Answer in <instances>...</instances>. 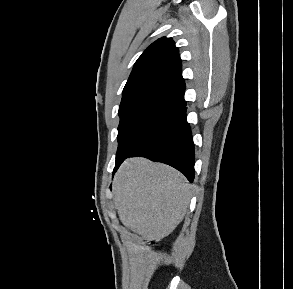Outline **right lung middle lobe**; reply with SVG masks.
<instances>
[{
	"label": "right lung middle lobe",
	"mask_w": 293,
	"mask_h": 289,
	"mask_svg": "<svg viewBox=\"0 0 293 289\" xmlns=\"http://www.w3.org/2000/svg\"><path fill=\"white\" fill-rule=\"evenodd\" d=\"M178 107L154 98H138L121 102L119 106L118 150H125L155 123Z\"/></svg>",
	"instance_id": "right-lung-middle-lobe-1"
}]
</instances>
